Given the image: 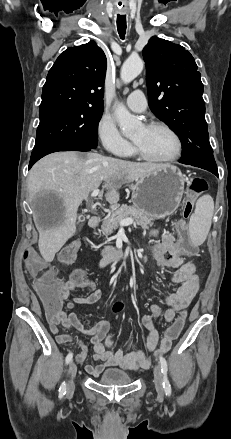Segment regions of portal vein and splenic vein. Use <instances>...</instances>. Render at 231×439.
Returning a JSON list of instances; mask_svg holds the SVG:
<instances>
[{
    "label": "portal vein and splenic vein",
    "instance_id": "1",
    "mask_svg": "<svg viewBox=\"0 0 231 439\" xmlns=\"http://www.w3.org/2000/svg\"><path fill=\"white\" fill-rule=\"evenodd\" d=\"M99 189H95V190H93V192L91 193V197H96V196H98L99 195ZM134 223V219L133 218H131V217H129V218H126V219H124V220H121V222H120V226H128V225H131V224H133Z\"/></svg>",
    "mask_w": 231,
    "mask_h": 439
}]
</instances>
